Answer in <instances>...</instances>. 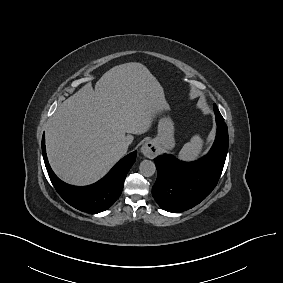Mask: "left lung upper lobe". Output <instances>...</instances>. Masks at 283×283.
Here are the masks:
<instances>
[{
	"mask_svg": "<svg viewBox=\"0 0 283 283\" xmlns=\"http://www.w3.org/2000/svg\"><path fill=\"white\" fill-rule=\"evenodd\" d=\"M218 110L217 106L214 104V112Z\"/></svg>",
	"mask_w": 283,
	"mask_h": 283,
	"instance_id": "obj_1",
	"label": "left lung upper lobe"
}]
</instances>
